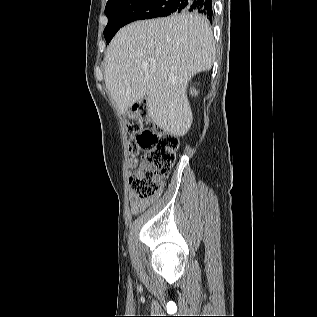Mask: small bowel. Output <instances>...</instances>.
Listing matches in <instances>:
<instances>
[{"mask_svg": "<svg viewBox=\"0 0 317 317\" xmlns=\"http://www.w3.org/2000/svg\"><path fill=\"white\" fill-rule=\"evenodd\" d=\"M149 205V201H140L134 196L130 197V209L132 214L136 215Z\"/></svg>", "mask_w": 317, "mask_h": 317, "instance_id": "small-bowel-1", "label": "small bowel"}]
</instances>
